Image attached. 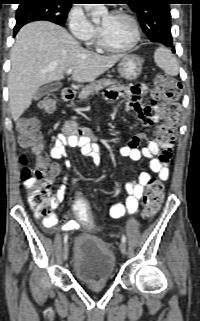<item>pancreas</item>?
<instances>
[{
    "mask_svg": "<svg viewBox=\"0 0 200 321\" xmlns=\"http://www.w3.org/2000/svg\"><path fill=\"white\" fill-rule=\"evenodd\" d=\"M116 86H120V82H118L117 80H113V79H100L97 81H94L92 83H90L89 85H87L86 87H84L81 92L79 93V99L80 101H84L86 100L90 94L94 93V92H98L99 90L103 89L104 87H116Z\"/></svg>",
    "mask_w": 200,
    "mask_h": 321,
    "instance_id": "pancreas-1",
    "label": "pancreas"
}]
</instances>
